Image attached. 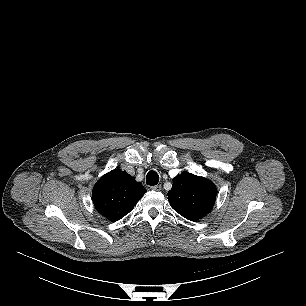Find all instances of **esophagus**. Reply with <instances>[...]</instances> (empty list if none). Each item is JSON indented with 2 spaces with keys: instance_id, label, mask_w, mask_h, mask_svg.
<instances>
[{
  "instance_id": "obj_1",
  "label": "esophagus",
  "mask_w": 306,
  "mask_h": 306,
  "mask_svg": "<svg viewBox=\"0 0 306 306\" xmlns=\"http://www.w3.org/2000/svg\"><path fill=\"white\" fill-rule=\"evenodd\" d=\"M162 188L161 185H155V186H151V189L154 190V191H160Z\"/></svg>"
}]
</instances>
